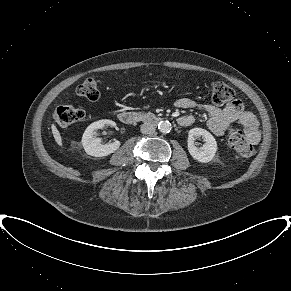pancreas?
<instances>
[{"mask_svg": "<svg viewBox=\"0 0 291 291\" xmlns=\"http://www.w3.org/2000/svg\"><path fill=\"white\" fill-rule=\"evenodd\" d=\"M141 116H142V117H146V116H147V114H146V113H143V114H141Z\"/></svg>", "mask_w": 291, "mask_h": 291, "instance_id": "obj_1", "label": "pancreas"}]
</instances>
